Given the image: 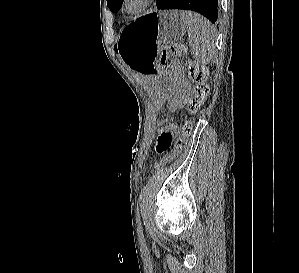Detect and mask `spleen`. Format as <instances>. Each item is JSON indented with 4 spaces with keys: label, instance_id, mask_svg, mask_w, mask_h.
Returning a JSON list of instances; mask_svg holds the SVG:
<instances>
[{
    "label": "spleen",
    "instance_id": "obj_1",
    "mask_svg": "<svg viewBox=\"0 0 299 273\" xmlns=\"http://www.w3.org/2000/svg\"><path fill=\"white\" fill-rule=\"evenodd\" d=\"M188 30V41L192 55L202 65L209 64L215 57V27L203 16L191 11H181Z\"/></svg>",
    "mask_w": 299,
    "mask_h": 273
}]
</instances>
